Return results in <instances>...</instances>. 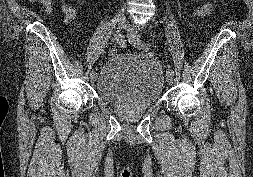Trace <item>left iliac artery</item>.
Here are the masks:
<instances>
[{
	"instance_id": "left-iliac-artery-1",
	"label": "left iliac artery",
	"mask_w": 253,
	"mask_h": 177,
	"mask_svg": "<svg viewBox=\"0 0 253 177\" xmlns=\"http://www.w3.org/2000/svg\"><path fill=\"white\" fill-rule=\"evenodd\" d=\"M134 41H135V44L137 45V47H139V48L149 49V47H150V45L148 43H145V42H143L140 39H135ZM166 74H172V75H174L173 69L169 68L166 71Z\"/></svg>"
}]
</instances>
